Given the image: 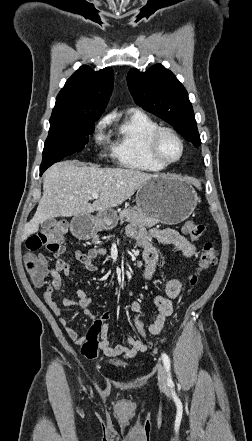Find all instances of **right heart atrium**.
Here are the masks:
<instances>
[{"label": "right heart atrium", "instance_id": "obj_1", "mask_svg": "<svg viewBox=\"0 0 252 441\" xmlns=\"http://www.w3.org/2000/svg\"><path fill=\"white\" fill-rule=\"evenodd\" d=\"M107 124V119L100 120L94 131V141L97 145L102 144L105 141L104 129Z\"/></svg>", "mask_w": 252, "mask_h": 441}]
</instances>
